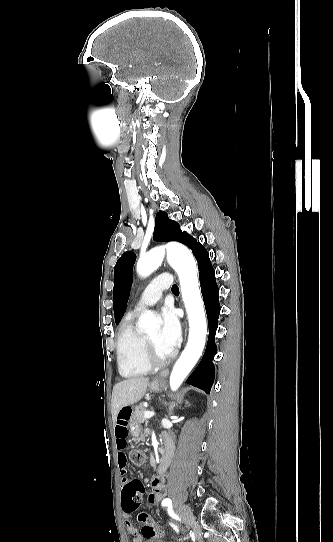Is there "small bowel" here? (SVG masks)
Instances as JSON below:
<instances>
[{
    "label": "small bowel",
    "instance_id": "c3829d8e",
    "mask_svg": "<svg viewBox=\"0 0 333 542\" xmlns=\"http://www.w3.org/2000/svg\"><path fill=\"white\" fill-rule=\"evenodd\" d=\"M118 411H119V414L117 416L115 427H114L115 444H116V449L118 451L119 468L122 474H125L127 458L124 453V450L127 448L128 425H129V422L131 421L132 408L128 405H121ZM168 448H170V446H168ZM129 481L130 480H128L125 476L122 477L121 479L122 497H131V491L128 489ZM150 486H151V491L148 495V500L151 504L157 505L162 501L166 493L165 475H159L157 473L151 479ZM123 519L129 520L130 514L124 513ZM150 524L157 529V537L155 538H162L164 536V532L155 525V522L153 520H151ZM125 527L128 533L132 535V542L143 541L142 534H140L137 531L136 527L131 521H126ZM155 538H151V539H155Z\"/></svg>",
    "mask_w": 333,
    "mask_h": 542
}]
</instances>
